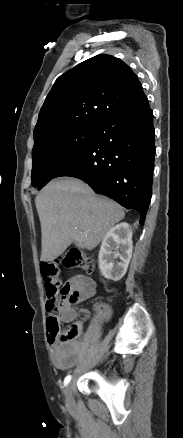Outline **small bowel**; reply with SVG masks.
Segmentation results:
<instances>
[{
    "label": "small bowel",
    "mask_w": 183,
    "mask_h": 438,
    "mask_svg": "<svg viewBox=\"0 0 183 438\" xmlns=\"http://www.w3.org/2000/svg\"><path fill=\"white\" fill-rule=\"evenodd\" d=\"M77 295L76 303L85 301L91 298L96 291L95 281L86 275H76L70 278L66 284ZM95 310L100 312L103 319L107 320L111 315V309L107 304L100 303L95 306ZM79 317L80 320L74 322ZM89 317V311L83 308H74L69 300H66L59 312V319L64 323L74 322L80 331L82 329L83 322ZM48 343L51 348V355L53 364L61 370H67L75 365L77 362L81 350L82 343L78 339L71 341H63L58 336H54L48 333Z\"/></svg>",
    "instance_id": "obj_1"
}]
</instances>
